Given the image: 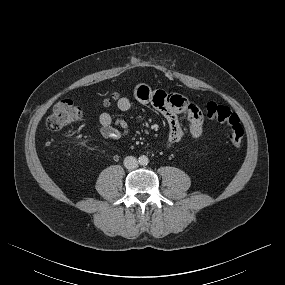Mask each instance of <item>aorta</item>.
<instances>
[{"label": "aorta", "mask_w": 285, "mask_h": 285, "mask_svg": "<svg viewBox=\"0 0 285 285\" xmlns=\"http://www.w3.org/2000/svg\"><path fill=\"white\" fill-rule=\"evenodd\" d=\"M149 163V159L147 156L143 155L139 157V164L145 166Z\"/></svg>", "instance_id": "aorta-1"}]
</instances>
